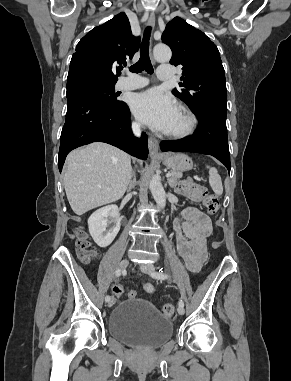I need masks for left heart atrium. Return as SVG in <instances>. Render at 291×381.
<instances>
[{
  "label": "left heart atrium",
  "mask_w": 291,
  "mask_h": 381,
  "mask_svg": "<svg viewBox=\"0 0 291 381\" xmlns=\"http://www.w3.org/2000/svg\"><path fill=\"white\" fill-rule=\"evenodd\" d=\"M131 109L141 122L163 132L170 129L179 112L176 101L157 88L135 94L131 99Z\"/></svg>",
  "instance_id": "left-heart-atrium-1"
}]
</instances>
